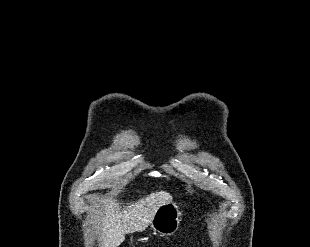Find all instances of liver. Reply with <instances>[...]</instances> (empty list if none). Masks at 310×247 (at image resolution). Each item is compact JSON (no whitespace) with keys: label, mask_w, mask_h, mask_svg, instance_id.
Returning <instances> with one entry per match:
<instances>
[{"label":"liver","mask_w":310,"mask_h":247,"mask_svg":"<svg viewBox=\"0 0 310 247\" xmlns=\"http://www.w3.org/2000/svg\"><path fill=\"white\" fill-rule=\"evenodd\" d=\"M173 197L166 191H159L147 195L135 203L122 208L117 200L103 201L105 215L101 227L100 241L102 247H118L125 235L145 230L151 223L157 208L165 202L172 201Z\"/></svg>","instance_id":"1"}]
</instances>
